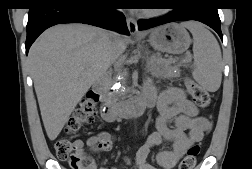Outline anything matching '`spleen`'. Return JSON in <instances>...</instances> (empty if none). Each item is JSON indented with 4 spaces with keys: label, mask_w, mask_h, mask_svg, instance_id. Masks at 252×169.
Wrapping results in <instances>:
<instances>
[{
    "label": "spleen",
    "mask_w": 252,
    "mask_h": 169,
    "mask_svg": "<svg viewBox=\"0 0 252 169\" xmlns=\"http://www.w3.org/2000/svg\"><path fill=\"white\" fill-rule=\"evenodd\" d=\"M193 36L194 80L209 92L219 89L222 81V55L214 35L202 24H183Z\"/></svg>",
    "instance_id": "3e777b00"
}]
</instances>
